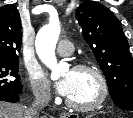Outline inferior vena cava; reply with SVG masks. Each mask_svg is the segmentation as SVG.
I'll return each mask as SVG.
<instances>
[{"mask_svg": "<svg viewBox=\"0 0 133 118\" xmlns=\"http://www.w3.org/2000/svg\"><path fill=\"white\" fill-rule=\"evenodd\" d=\"M50 100V90L43 88L35 92V101L28 110V118H38V110L47 106Z\"/></svg>", "mask_w": 133, "mask_h": 118, "instance_id": "inferior-vena-cava-1", "label": "inferior vena cava"}]
</instances>
